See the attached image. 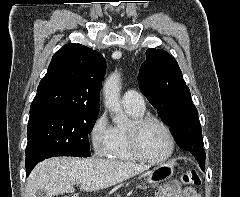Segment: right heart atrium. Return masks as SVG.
Returning <instances> with one entry per match:
<instances>
[{"label": "right heart atrium", "mask_w": 240, "mask_h": 197, "mask_svg": "<svg viewBox=\"0 0 240 197\" xmlns=\"http://www.w3.org/2000/svg\"><path fill=\"white\" fill-rule=\"evenodd\" d=\"M89 139L97 156L109 154L112 143V126L109 124L106 113H101L93 121L89 130Z\"/></svg>", "instance_id": "1"}]
</instances>
